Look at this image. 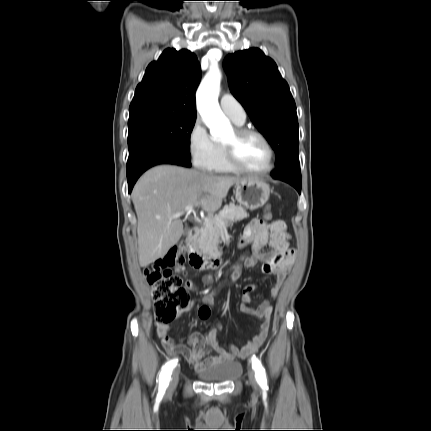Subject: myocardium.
<instances>
[{"label":"myocardium","instance_id":"1","mask_svg":"<svg viewBox=\"0 0 431 431\" xmlns=\"http://www.w3.org/2000/svg\"><path fill=\"white\" fill-rule=\"evenodd\" d=\"M256 136L258 137L267 147L269 152V163L265 168L262 169H251L246 166H244L241 161L238 158L237 155V143L239 140L246 136ZM234 140L232 142H223L226 158L229 163V165L238 172L241 173H248V174H265L270 172L275 165V150L268 140V138L260 131L253 129V128H247V127H237L234 129Z\"/></svg>","mask_w":431,"mask_h":431}]
</instances>
